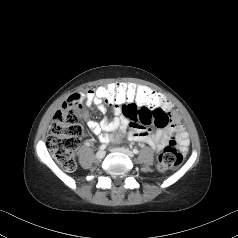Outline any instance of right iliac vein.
Segmentation results:
<instances>
[{
    "mask_svg": "<svg viewBox=\"0 0 238 238\" xmlns=\"http://www.w3.org/2000/svg\"><path fill=\"white\" fill-rule=\"evenodd\" d=\"M104 156H105V151L104 150H99L97 153H96V158L97 159H102V158H104Z\"/></svg>",
    "mask_w": 238,
    "mask_h": 238,
    "instance_id": "1",
    "label": "right iliac vein"
}]
</instances>
